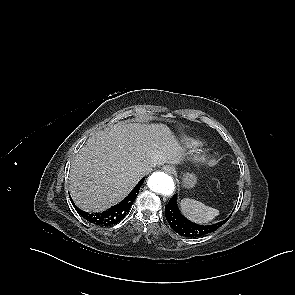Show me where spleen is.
<instances>
[{
  "mask_svg": "<svg viewBox=\"0 0 295 295\" xmlns=\"http://www.w3.org/2000/svg\"><path fill=\"white\" fill-rule=\"evenodd\" d=\"M180 205L183 214L196 223H208L219 215L217 209L206 206L194 199L184 198L181 200Z\"/></svg>",
  "mask_w": 295,
  "mask_h": 295,
  "instance_id": "obj_1",
  "label": "spleen"
}]
</instances>
